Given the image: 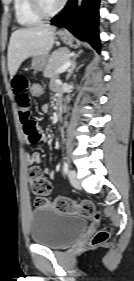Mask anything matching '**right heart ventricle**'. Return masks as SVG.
Returning a JSON list of instances; mask_svg holds the SVG:
<instances>
[{
	"instance_id": "obj_1",
	"label": "right heart ventricle",
	"mask_w": 134,
	"mask_h": 281,
	"mask_svg": "<svg viewBox=\"0 0 134 281\" xmlns=\"http://www.w3.org/2000/svg\"><path fill=\"white\" fill-rule=\"evenodd\" d=\"M13 7L17 23L21 26H34L42 20V17L33 10L30 0H13Z\"/></svg>"
}]
</instances>
